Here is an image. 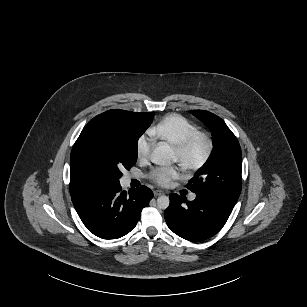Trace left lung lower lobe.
<instances>
[{
	"label": "left lung lower lobe",
	"instance_id": "1",
	"mask_svg": "<svg viewBox=\"0 0 307 307\" xmlns=\"http://www.w3.org/2000/svg\"><path fill=\"white\" fill-rule=\"evenodd\" d=\"M169 198L170 205L164 212L168 227L192 242L206 240L218 233L234 207L198 195L193 201H186L175 193L170 194Z\"/></svg>",
	"mask_w": 307,
	"mask_h": 307
}]
</instances>
